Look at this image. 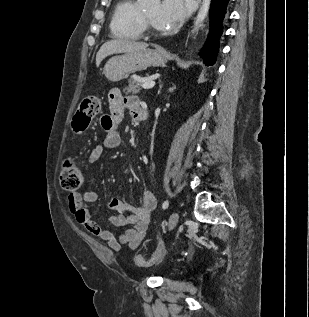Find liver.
<instances>
[{"instance_id": "6515ba94", "label": "liver", "mask_w": 309, "mask_h": 317, "mask_svg": "<svg viewBox=\"0 0 309 317\" xmlns=\"http://www.w3.org/2000/svg\"><path fill=\"white\" fill-rule=\"evenodd\" d=\"M148 47L147 43L136 42L127 39H113L104 43L96 55V66L99 67L103 59L117 53H127L143 50Z\"/></svg>"}]
</instances>
